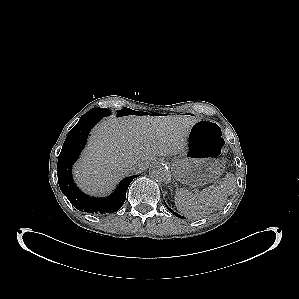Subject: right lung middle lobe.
Returning a JSON list of instances; mask_svg holds the SVG:
<instances>
[{"label": "right lung middle lobe", "instance_id": "right-lung-middle-lobe-1", "mask_svg": "<svg viewBox=\"0 0 299 299\" xmlns=\"http://www.w3.org/2000/svg\"><path fill=\"white\" fill-rule=\"evenodd\" d=\"M110 115V111L107 108H93L85 113L81 118L91 117V116H101L105 117Z\"/></svg>", "mask_w": 299, "mask_h": 299}]
</instances>
